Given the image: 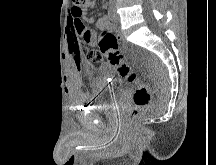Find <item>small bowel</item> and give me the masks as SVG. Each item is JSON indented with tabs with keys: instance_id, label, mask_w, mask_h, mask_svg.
<instances>
[{
	"instance_id": "c3829d8e",
	"label": "small bowel",
	"mask_w": 216,
	"mask_h": 165,
	"mask_svg": "<svg viewBox=\"0 0 216 165\" xmlns=\"http://www.w3.org/2000/svg\"><path fill=\"white\" fill-rule=\"evenodd\" d=\"M87 7H94V1L84 8L77 10L74 7L71 9L70 18L68 21L67 40L68 47L71 53L74 55V60L79 66L82 62V55L79 46V39H82L86 44L95 46L97 44V32L91 28H88L83 23L85 20L88 24L97 23L99 27H107L108 24L105 20L96 22L94 17H86L85 10Z\"/></svg>"
}]
</instances>
